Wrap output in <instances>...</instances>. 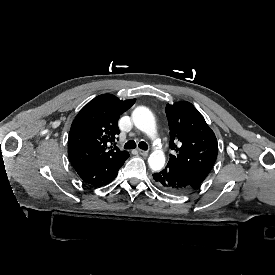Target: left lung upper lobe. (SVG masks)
Masks as SVG:
<instances>
[{
    "label": "left lung upper lobe",
    "instance_id": "1",
    "mask_svg": "<svg viewBox=\"0 0 275 275\" xmlns=\"http://www.w3.org/2000/svg\"><path fill=\"white\" fill-rule=\"evenodd\" d=\"M170 128V154L167 164L188 184L197 188L211 171L218 151L217 139L199 111L187 101L166 106Z\"/></svg>",
    "mask_w": 275,
    "mask_h": 275
}]
</instances>
